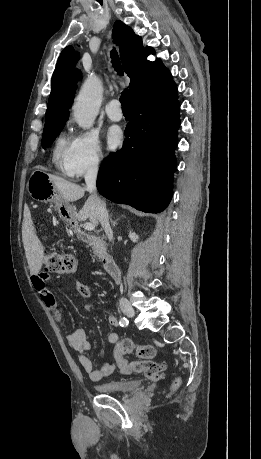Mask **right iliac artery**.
Wrapping results in <instances>:
<instances>
[{
  "label": "right iliac artery",
  "instance_id": "obj_1",
  "mask_svg": "<svg viewBox=\"0 0 261 459\" xmlns=\"http://www.w3.org/2000/svg\"><path fill=\"white\" fill-rule=\"evenodd\" d=\"M128 323H129V321H128V319L125 318V317H122V318H120V320H119V324H120V326H122V327H126V326L128 325Z\"/></svg>",
  "mask_w": 261,
  "mask_h": 459
}]
</instances>
